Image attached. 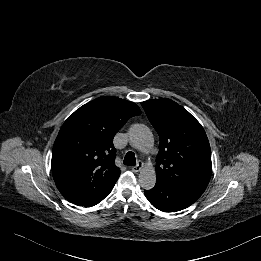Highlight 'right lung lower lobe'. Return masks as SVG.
Segmentation results:
<instances>
[{
	"label": "right lung lower lobe",
	"mask_w": 261,
	"mask_h": 261,
	"mask_svg": "<svg viewBox=\"0 0 261 261\" xmlns=\"http://www.w3.org/2000/svg\"><path fill=\"white\" fill-rule=\"evenodd\" d=\"M110 192H111V191H110ZM110 192H109V193H110ZM109 193H108V194H109ZM108 194H107V195H108ZM107 195H106V196H107ZM106 196H104V197L100 198L99 200L94 201V202H92V203H90V204L85 205V207H91V206H94V205L98 204V203H99L100 201H102Z\"/></svg>",
	"instance_id": "98d812e1"
}]
</instances>
